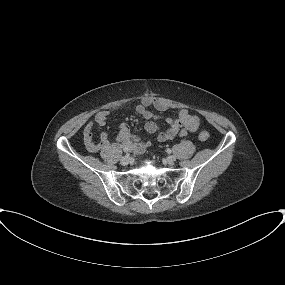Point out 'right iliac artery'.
<instances>
[{
	"label": "right iliac artery",
	"instance_id": "right-iliac-artery-1",
	"mask_svg": "<svg viewBox=\"0 0 285 285\" xmlns=\"http://www.w3.org/2000/svg\"><path fill=\"white\" fill-rule=\"evenodd\" d=\"M124 152L126 153V156H129V149L124 148Z\"/></svg>",
	"mask_w": 285,
	"mask_h": 285
}]
</instances>
